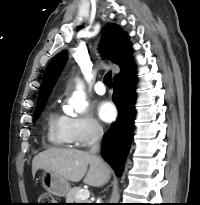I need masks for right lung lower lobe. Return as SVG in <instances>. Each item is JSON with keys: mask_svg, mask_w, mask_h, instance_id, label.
Listing matches in <instances>:
<instances>
[{"mask_svg": "<svg viewBox=\"0 0 200 205\" xmlns=\"http://www.w3.org/2000/svg\"><path fill=\"white\" fill-rule=\"evenodd\" d=\"M113 101L119 111L118 122L106 133L102 143V155L120 175L123 162L130 146L135 116L136 69L133 65L124 73L114 77Z\"/></svg>", "mask_w": 200, "mask_h": 205, "instance_id": "98d812e1", "label": "right lung lower lobe"}]
</instances>
